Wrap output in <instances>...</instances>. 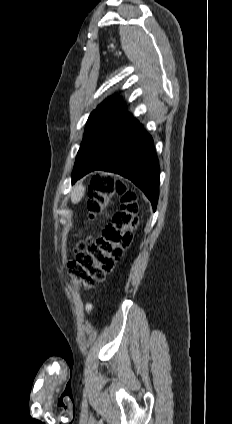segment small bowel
<instances>
[{"instance_id": "obj_1", "label": "small bowel", "mask_w": 232, "mask_h": 424, "mask_svg": "<svg viewBox=\"0 0 232 424\" xmlns=\"http://www.w3.org/2000/svg\"><path fill=\"white\" fill-rule=\"evenodd\" d=\"M86 309H87V311H91L92 310V306L91 305H87Z\"/></svg>"}]
</instances>
